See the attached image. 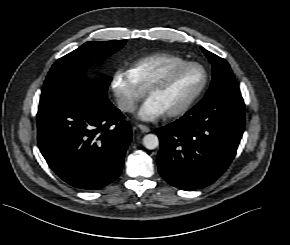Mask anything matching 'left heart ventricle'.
Masks as SVG:
<instances>
[{
	"instance_id": "1",
	"label": "left heart ventricle",
	"mask_w": 290,
	"mask_h": 245,
	"mask_svg": "<svg viewBox=\"0 0 290 245\" xmlns=\"http://www.w3.org/2000/svg\"><path fill=\"white\" fill-rule=\"evenodd\" d=\"M202 82V70L197 67H189L170 74L162 85L153 88L148 95L153 97L165 112H168L184 104Z\"/></svg>"
}]
</instances>
